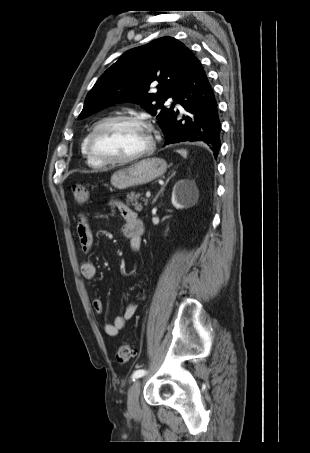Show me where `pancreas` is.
<instances>
[{"mask_svg": "<svg viewBox=\"0 0 310 453\" xmlns=\"http://www.w3.org/2000/svg\"><path fill=\"white\" fill-rule=\"evenodd\" d=\"M141 195L142 194H140V193L135 194V192H131V193L127 194V200H126L127 204L133 205L135 207L136 211H141L143 208L142 204L138 201L139 198L141 201L144 202V205H147V202H148V200L141 197Z\"/></svg>", "mask_w": 310, "mask_h": 453, "instance_id": "cf45deb5", "label": "pancreas"}]
</instances>
